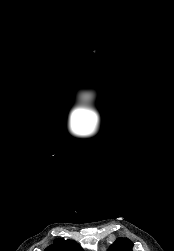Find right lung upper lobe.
<instances>
[{
	"instance_id": "1",
	"label": "right lung upper lobe",
	"mask_w": 174,
	"mask_h": 251,
	"mask_svg": "<svg viewBox=\"0 0 174 251\" xmlns=\"http://www.w3.org/2000/svg\"><path fill=\"white\" fill-rule=\"evenodd\" d=\"M44 251H83V249L73 240L58 238Z\"/></svg>"
}]
</instances>
